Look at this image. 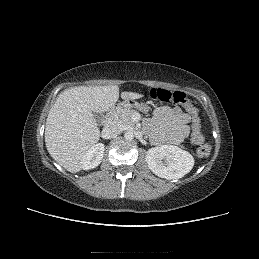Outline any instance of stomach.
<instances>
[{"label":"stomach","instance_id":"obj_1","mask_svg":"<svg viewBox=\"0 0 259 259\" xmlns=\"http://www.w3.org/2000/svg\"><path fill=\"white\" fill-rule=\"evenodd\" d=\"M122 106L137 108V109H139L141 111H144V112L148 111V106L146 104L136 102L134 99H129V100L124 101L122 103Z\"/></svg>","mask_w":259,"mask_h":259}]
</instances>
